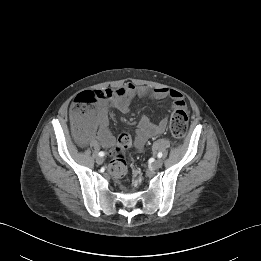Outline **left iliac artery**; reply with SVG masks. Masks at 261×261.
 I'll return each instance as SVG.
<instances>
[{
	"label": "left iliac artery",
	"mask_w": 261,
	"mask_h": 261,
	"mask_svg": "<svg viewBox=\"0 0 261 261\" xmlns=\"http://www.w3.org/2000/svg\"><path fill=\"white\" fill-rule=\"evenodd\" d=\"M157 156H158V158H161V157L163 156L162 152H159V153L157 154Z\"/></svg>",
	"instance_id": "obj_1"
}]
</instances>
